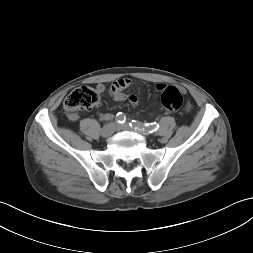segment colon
Listing matches in <instances>:
<instances>
[{"label":"colon","instance_id":"obj_1","mask_svg":"<svg viewBox=\"0 0 253 253\" xmlns=\"http://www.w3.org/2000/svg\"><path fill=\"white\" fill-rule=\"evenodd\" d=\"M99 93L94 88L82 86L72 91L64 101V108L67 112L75 114L80 110L90 109L99 101ZM161 102L169 113L177 111L183 103L181 92L173 86L165 87L162 90Z\"/></svg>","mask_w":253,"mask_h":253}]
</instances>
